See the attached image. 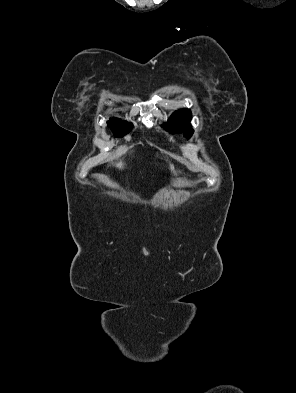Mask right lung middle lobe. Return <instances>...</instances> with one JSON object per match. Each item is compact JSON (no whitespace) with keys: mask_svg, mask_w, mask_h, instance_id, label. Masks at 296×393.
<instances>
[{"mask_svg":"<svg viewBox=\"0 0 296 393\" xmlns=\"http://www.w3.org/2000/svg\"><path fill=\"white\" fill-rule=\"evenodd\" d=\"M107 125L116 137H122L132 129V125L117 118L110 119Z\"/></svg>","mask_w":296,"mask_h":393,"instance_id":"obj_1","label":"right lung middle lobe"}]
</instances>
